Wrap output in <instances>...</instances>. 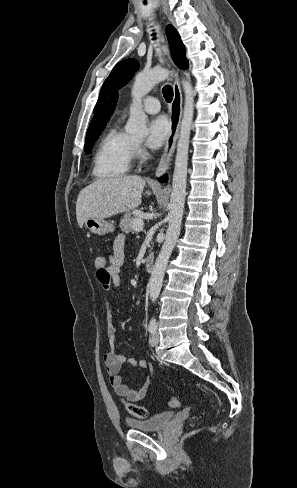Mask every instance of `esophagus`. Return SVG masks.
I'll return each instance as SVG.
<instances>
[{"label":"esophagus","mask_w":297,"mask_h":488,"mask_svg":"<svg viewBox=\"0 0 297 488\" xmlns=\"http://www.w3.org/2000/svg\"><path fill=\"white\" fill-rule=\"evenodd\" d=\"M182 116V92L178 78L174 79L173 83V100L170 106V134L166 141L164 152L161 156L159 164L156 169V176L164 175L171 163L172 156L175 151L176 142L179 135V127Z\"/></svg>","instance_id":"obj_1"}]
</instances>
